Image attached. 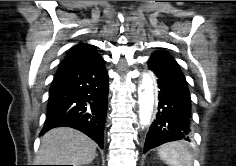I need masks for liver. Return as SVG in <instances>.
I'll return each instance as SVG.
<instances>
[{"label":"liver","instance_id":"liver-1","mask_svg":"<svg viewBox=\"0 0 236 166\" xmlns=\"http://www.w3.org/2000/svg\"><path fill=\"white\" fill-rule=\"evenodd\" d=\"M96 154V144L72 128H54L41 138L36 158L39 165H87Z\"/></svg>","mask_w":236,"mask_h":166}]
</instances>
